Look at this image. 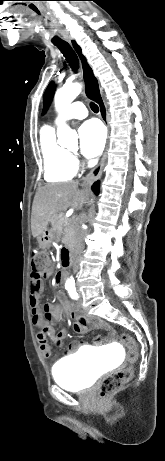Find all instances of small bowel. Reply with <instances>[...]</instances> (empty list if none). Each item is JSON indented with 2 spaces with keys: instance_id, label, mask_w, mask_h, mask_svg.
Here are the masks:
<instances>
[{
  "instance_id": "obj_1",
  "label": "small bowel",
  "mask_w": 165,
  "mask_h": 461,
  "mask_svg": "<svg viewBox=\"0 0 165 461\" xmlns=\"http://www.w3.org/2000/svg\"><path fill=\"white\" fill-rule=\"evenodd\" d=\"M46 276H49V273ZM63 277V271H56V277L54 278L55 285H61ZM41 289L42 284H40ZM29 305L31 308L32 323L39 328V332L36 335L39 349L45 358L52 357V347L49 340L52 343L61 344L67 336L66 329L56 332L54 328V322L61 317L62 312L75 319L74 330L78 333H86L90 329H100L107 332L108 340H111L115 335L112 327L106 322L88 319L79 312L74 311L70 302L62 295L58 297V304L46 303L42 308H39V294L31 286ZM101 341V338L95 339V343H101ZM83 345L82 341H74L68 346L67 353H72Z\"/></svg>"
}]
</instances>
